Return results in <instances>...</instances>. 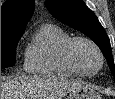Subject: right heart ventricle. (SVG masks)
I'll return each mask as SVG.
<instances>
[{"label":"right heart ventricle","mask_w":115,"mask_h":99,"mask_svg":"<svg viewBox=\"0 0 115 99\" xmlns=\"http://www.w3.org/2000/svg\"><path fill=\"white\" fill-rule=\"evenodd\" d=\"M71 37L58 25H42L27 49L25 70L35 75L79 76L64 56V47Z\"/></svg>","instance_id":"right-heart-ventricle-1"}]
</instances>
